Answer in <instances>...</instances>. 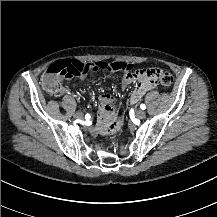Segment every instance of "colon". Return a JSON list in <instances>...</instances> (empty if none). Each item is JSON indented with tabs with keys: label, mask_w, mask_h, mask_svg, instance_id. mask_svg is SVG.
Wrapping results in <instances>:
<instances>
[{
	"label": "colon",
	"mask_w": 217,
	"mask_h": 217,
	"mask_svg": "<svg viewBox=\"0 0 217 217\" xmlns=\"http://www.w3.org/2000/svg\"><path fill=\"white\" fill-rule=\"evenodd\" d=\"M131 64L125 61H98L94 63H80V62H57L52 64L48 72L45 75L44 87L47 91L56 94L57 91L61 90L63 87V82L61 76H66L71 78L74 75L87 74L91 72H96L100 69L111 70V71H126L131 69ZM161 69L157 68H147L140 67L135 73L134 77L141 80H152L156 79L157 74ZM162 80L165 83V86H170L173 83L172 76L167 73L164 75ZM100 148L106 147L105 141L99 142Z\"/></svg>",
	"instance_id": "obj_1"
}]
</instances>
